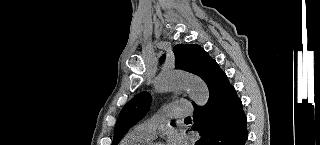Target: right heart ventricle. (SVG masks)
Masks as SVG:
<instances>
[{
    "label": "right heart ventricle",
    "instance_id": "e07e8e85",
    "mask_svg": "<svg viewBox=\"0 0 320 145\" xmlns=\"http://www.w3.org/2000/svg\"><path fill=\"white\" fill-rule=\"evenodd\" d=\"M151 140L136 130H132L122 139L120 145H148Z\"/></svg>",
    "mask_w": 320,
    "mask_h": 145
}]
</instances>
